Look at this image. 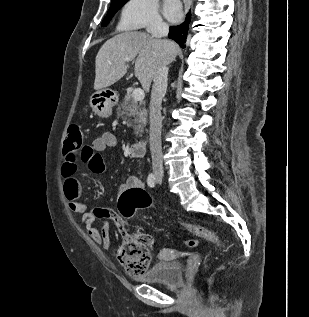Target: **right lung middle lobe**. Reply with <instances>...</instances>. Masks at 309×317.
<instances>
[{"mask_svg": "<svg viewBox=\"0 0 309 317\" xmlns=\"http://www.w3.org/2000/svg\"><path fill=\"white\" fill-rule=\"evenodd\" d=\"M127 1L128 0H112L108 14L104 18L101 25L106 26L111 20L112 16L117 12V10L120 9Z\"/></svg>", "mask_w": 309, "mask_h": 317, "instance_id": "dd1d6c3e", "label": "right lung middle lobe"}]
</instances>
